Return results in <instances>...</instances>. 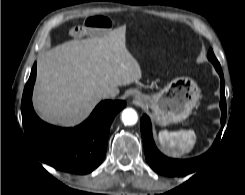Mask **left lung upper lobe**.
Returning <instances> with one entry per match:
<instances>
[{
    "label": "left lung upper lobe",
    "mask_w": 245,
    "mask_h": 195,
    "mask_svg": "<svg viewBox=\"0 0 245 195\" xmlns=\"http://www.w3.org/2000/svg\"><path fill=\"white\" fill-rule=\"evenodd\" d=\"M207 57L213 63L214 66H219L220 67V64H219L218 60L216 59V57H215V55L213 53V50L211 48L209 49Z\"/></svg>",
    "instance_id": "left-lung-upper-lobe-1"
}]
</instances>
